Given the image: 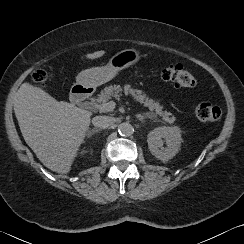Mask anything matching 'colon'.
<instances>
[{
    "label": "colon",
    "instance_id": "1",
    "mask_svg": "<svg viewBox=\"0 0 244 244\" xmlns=\"http://www.w3.org/2000/svg\"><path fill=\"white\" fill-rule=\"evenodd\" d=\"M163 81L173 83L179 87H192L195 85L194 76L180 64H169L160 73ZM48 75L44 69H38L33 74V81L36 84H43L47 81ZM196 118L203 122L216 123L223 116V110L219 105L211 102H199L194 106Z\"/></svg>",
    "mask_w": 244,
    "mask_h": 244
}]
</instances>
